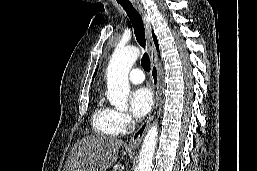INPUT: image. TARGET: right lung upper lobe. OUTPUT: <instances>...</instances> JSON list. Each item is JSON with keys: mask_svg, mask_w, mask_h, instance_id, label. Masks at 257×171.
<instances>
[{"mask_svg": "<svg viewBox=\"0 0 257 171\" xmlns=\"http://www.w3.org/2000/svg\"><path fill=\"white\" fill-rule=\"evenodd\" d=\"M152 36H153V40H154V43H155V45H156V48L158 49L159 47H158L157 38H156V36L154 35L153 32H152ZM96 72H97V70H96ZM96 72H95L94 76L96 75Z\"/></svg>", "mask_w": 257, "mask_h": 171, "instance_id": "obj_1", "label": "right lung upper lobe"}]
</instances>
